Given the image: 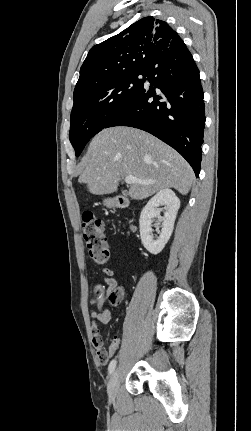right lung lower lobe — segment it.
I'll list each match as a JSON object with an SVG mask.
<instances>
[{"mask_svg":"<svg viewBox=\"0 0 251 431\" xmlns=\"http://www.w3.org/2000/svg\"><path fill=\"white\" fill-rule=\"evenodd\" d=\"M142 89L105 125L130 126L158 137L177 150L199 176L205 125L199 71L186 46L172 48L146 69Z\"/></svg>","mask_w":251,"mask_h":431,"instance_id":"98d812e1","label":"right lung lower lobe"}]
</instances>
